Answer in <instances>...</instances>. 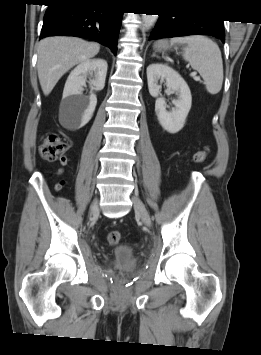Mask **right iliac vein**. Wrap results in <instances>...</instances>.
<instances>
[{
	"mask_svg": "<svg viewBox=\"0 0 261 355\" xmlns=\"http://www.w3.org/2000/svg\"><path fill=\"white\" fill-rule=\"evenodd\" d=\"M99 213L98 200L95 199L90 207V216H96Z\"/></svg>",
	"mask_w": 261,
	"mask_h": 355,
	"instance_id": "1",
	"label": "right iliac vein"
}]
</instances>
